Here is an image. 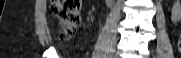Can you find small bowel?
Wrapping results in <instances>:
<instances>
[{
	"label": "small bowel",
	"instance_id": "1",
	"mask_svg": "<svg viewBox=\"0 0 181 58\" xmlns=\"http://www.w3.org/2000/svg\"><path fill=\"white\" fill-rule=\"evenodd\" d=\"M171 20L176 23L181 20V5L178 2H174L171 7Z\"/></svg>",
	"mask_w": 181,
	"mask_h": 58
}]
</instances>
